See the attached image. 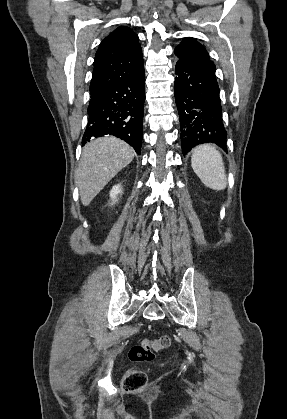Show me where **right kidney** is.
Instances as JSON below:
<instances>
[{"mask_svg":"<svg viewBox=\"0 0 287 419\" xmlns=\"http://www.w3.org/2000/svg\"><path fill=\"white\" fill-rule=\"evenodd\" d=\"M122 193L121 191V185L113 186L112 190L110 191V197L112 199V204H115L117 201L118 194Z\"/></svg>","mask_w":287,"mask_h":419,"instance_id":"obj_1","label":"right kidney"}]
</instances>
